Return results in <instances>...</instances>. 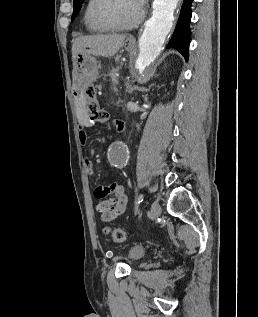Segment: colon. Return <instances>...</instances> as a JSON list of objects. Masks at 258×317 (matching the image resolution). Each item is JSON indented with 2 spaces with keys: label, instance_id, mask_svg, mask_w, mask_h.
Returning a JSON list of instances; mask_svg holds the SVG:
<instances>
[{
  "label": "colon",
  "instance_id": "colon-1",
  "mask_svg": "<svg viewBox=\"0 0 258 317\" xmlns=\"http://www.w3.org/2000/svg\"><path fill=\"white\" fill-rule=\"evenodd\" d=\"M85 109L90 116V119L96 123L106 124L109 122L108 113L102 109L96 99L94 87H88L84 92ZM105 234L115 243L124 242L127 238L126 232L117 227H107Z\"/></svg>",
  "mask_w": 258,
  "mask_h": 317
}]
</instances>
